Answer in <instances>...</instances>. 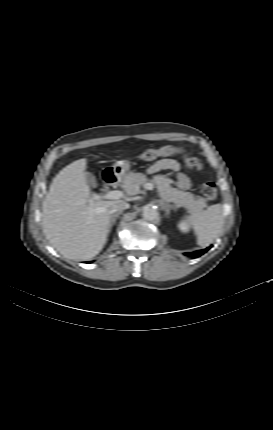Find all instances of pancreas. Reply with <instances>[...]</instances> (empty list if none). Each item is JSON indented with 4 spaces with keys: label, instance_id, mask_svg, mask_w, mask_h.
Returning a JSON list of instances; mask_svg holds the SVG:
<instances>
[{
    "label": "pancreas",
    "instance_id": "pancreas-1",
    "mask_svg": "<svg viewBox=\"0 0 273 430\" xmlns=\"http://www.w3.org/2000/svg\"><path fill=\"white\" fill-rule=\"evenodd\" d=\"M147 181L145 174L130 172L123 180L124 191L131 194H137L140 186ZM151 182L156 185L159 194L165 197L167 201L174 202L178 206L184 207L189 211L200 212L207 207L205 198L173 188L171 186L173 181L165 175H156L153 177Z\"/></svg>",
    "mask_w": 273,
    "mask_h": 430
}]
</instances>
